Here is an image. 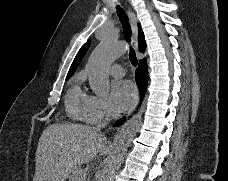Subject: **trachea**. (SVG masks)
Returning a JSON list of instances; mask_svg holds the SVG:
<instances>
[{"label":"trachea","instance_id":"obj_1","mask_svg":"<svg viewBox=\"0 0 228 181\" xmlns=\"http://www.w3.org/2000/svg\"><path fill=\"white\" fill-rule=\"evenodd\" d=\"M116 10H117V14H118L119 20H120L122 28H123L124 37H125L126 41L128 43H130L131 42L132 30H131V26L129 23L128 16L126 15V13L122 9V7H120V5L116 4ZM129 58H130L131 64L134 67H136L138 61H137L135 51L131 46H130V51H129Z\"/></svg>","mask_w":228,"mask_h":181}]
</instances>
